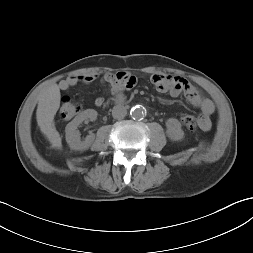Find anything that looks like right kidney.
Masks as SVG:
<instances>
[{"label":"right kidney","mask_w":253,"mask_h":253,"mask_svg":"<svg viewBox=\"0 0 253 253\" xmlns=\"http://www.w3.org/2000/svg\"><path fill=\"white\" fill-rule=\"evenodd\" d=\"M97 112L93 109H87L81 112L78 116H76L70 123L66 126V141L69 147L72 150H87L91 144L93 143L95 136L94 134L88 135L84 141H81L80 133L77 130L78 126L84 120H96Z\"/></svg>","instance_id":"1"}]
</instances>
